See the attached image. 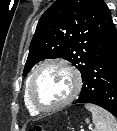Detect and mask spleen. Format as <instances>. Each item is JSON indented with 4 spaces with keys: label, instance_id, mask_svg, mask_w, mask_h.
<instances>
[{
    "label": "spleen",
    "instance_id": "obj_1",
    "mask_svg": "<svg viewBox=\"0 0 117 131\" xmlns=\"http://www.w3.org/2000/svg\"><path fill=\"white\" fill-rule=\"evenodd\" d=\"M85 108L92 113V121L95 125L93 131H117V120L115 117L94 104H85Z\"/></svg>",
    "mask_w": 117,
    "mask_h": 131
}]
</instances>
